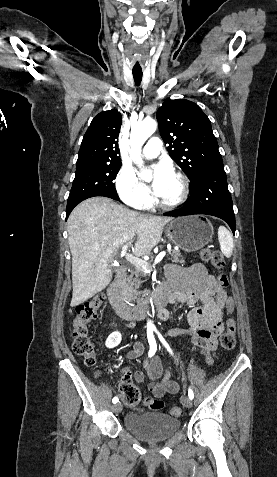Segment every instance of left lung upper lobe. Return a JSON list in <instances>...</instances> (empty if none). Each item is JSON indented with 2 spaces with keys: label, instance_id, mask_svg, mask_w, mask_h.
<instances>
[{
  "label": "left lung upper lobe",
  "instance_id": "left-lung-upper-lobe-1",
  "mask_svg": "<svg viewBox=\"0 0 277 477\" xmlns=\"http://www.w3.org/2000/svg\"><path fill=\"white\" fill-rule=\"evenodd\" d=\"M162 139L171 158L193 183L210 165L223 163L211 122L202 109L189 100L167 99L156 113Z\"/></svg>",
  "mask_w": 277,
  "mask_h": 477
}]
</instances>
